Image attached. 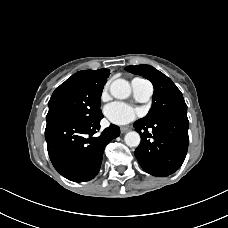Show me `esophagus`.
<instances>
[{
	"mask_svg": "<svg viewBox=\"0 0 228 228\" xmlns=\"http://www.w3.org/2000/svg\"><path fill=\"white\" fill-rule=\"evenodd\" d=\"M129 130H130L129 127H121L120 128V131H121L122 134L128 132Z\"/></svg>",
	"mask_w": 228,
	"mask_h": 228,
	"instance_id": "esophagus-1",
	"label": "esophagus"
}]
</instances>
